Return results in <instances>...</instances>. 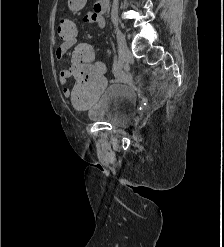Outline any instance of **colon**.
<instances>
[{
  "label": "colon",
  "instance_id": "5ec220e1",
  "mask_svg": "<svg viewBox=\"0 0 224 247\" xmlns=\"http://www.w3.org/2000/svg\"><path fill=\"white\" fill-rule=\"evenodd\" d=\"M57 33L62 40L74 39L78 33L77 25L70 19L62 18L57 24ZM93 59L94 50L90 45L82 44L74 52L70 74L78 85L71 91L70 101L79 108L94 103L106 86L105 79L92 65Z\"/></svg>",
  "mask_w": 224,
  "mask_h": 247
}]
</instances>
